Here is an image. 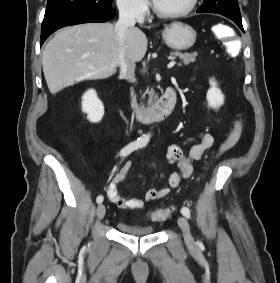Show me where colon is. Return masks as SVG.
Returning a JSON list of instances; mask_svg holds the SVG:
<instances>
[{
	"mask_svg": "<svg viewBox=\"0 0 280 283\" xmlns=\"http://www.w3.org/2000/svg\"><path fill=\"white\" fill-rule=\"evenodd\" d=\"M212 31L214 35L218 37V42H225V47H228V55H241L242 37H233L234 30L231 29V27L226 25H214L212 27ZM237 122H239V125L234 130L232 136L220 147L217 156H220L227 150H229L233 146V144L238 140L241 134L242 126L240 120H238ZM172 210L173 208L171 207L159 208L151 213V218L154 221H164L170 216Z\"/></svg>",
	"mask_w": 280,
	"mask_h": 283,
	"instance_id": "colon-1",
	"label": "colon"
}]
</instances>
